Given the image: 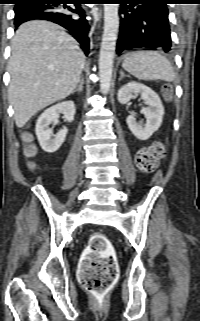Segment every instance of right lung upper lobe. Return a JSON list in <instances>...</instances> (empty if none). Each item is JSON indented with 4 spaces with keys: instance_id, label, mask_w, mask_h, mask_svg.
<instances>
[{
    "instance_id": "cb5924a9",
    "label": "right lung upper lobe",
    "mask_w": 200,
    "mask_h": 321,
    "mask_svg": "<svg viewBox=\"0 0 200 321\" xmlns=\"http://www.w3.org/2000/svg\"><path fill=\"white\" fill-rule=\"evenodd\" d=\"M16 1V3H18V2H20V1H22V0H15Z\"/></svg>"
}]
</instances>
